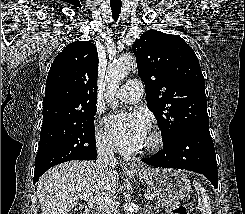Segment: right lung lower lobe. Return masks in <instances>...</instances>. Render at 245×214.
Masks as SVG:
<instances>
[{
	"label": "right lung lower lobe",
	"mask_w": 245,
	"mask_h": 214,
	"mask_svg": "<svg viewBox=\"0 0 245 214\" xmlns=\"http://www.w3.org/2000/svg\"><path fill=\"white\" fill-rule=\"evenodd\" d=\"M91 159L90 160H93V159H96L97 158V150L94 148L91 152ZM45 171L43 172H36L35 175H34V179H33V183H36L40 176L44 173Z\"/></svg>",
	"instance_id": "right-lung-lower-lobe-1"
}]
</instances>
